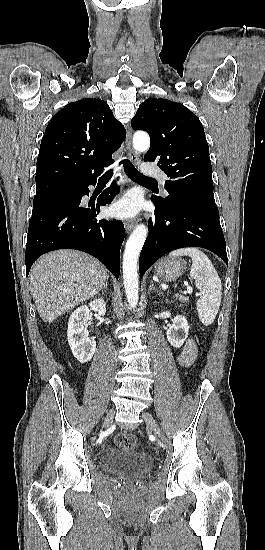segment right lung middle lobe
I'll list each match as a JSON object with an SVG mask.
<instances>
[{
    "mask_svg": "<svg viewBox=\"0 0 265 550\" xmlns=\"http://www.w3.org/2000/svg\"><path fill=\"white\" fill-rule=\"evenodd\" d=\"M72 188L64 185H45L37 187L33 207L67 196Z\"/></svg>",
    "mask_w": 265,
    "mask_h": 550,
    "instance_id": "obj_1",
    "label": "right lung middle lobe"
}]
</instances>
